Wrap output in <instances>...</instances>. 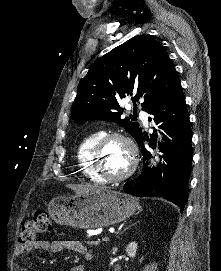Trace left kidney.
<instances>
[{
	"mask_svg": "<svg viewBox=\"0 0 221 271\" xmlns=\"http://www.w3.org/2000/svg\"><path fill=\"white\" fill-rule=\"evenodd\" d=\"M138 243L136 241H130L128 245H126V253H128L129 257H135L137 251Z\"/></svg>",
	"mask_w": 221,
	"mask_h": 271,
	"instance_id": "left-kidney-1",
	"label": "left kidney"
}]
</instances>
